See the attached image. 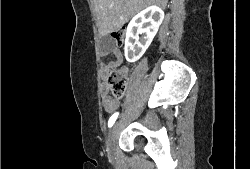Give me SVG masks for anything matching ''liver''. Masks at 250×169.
<instances>
[{"instance_id":"1","label":"liver","mask_w":250,"mask_h":169,"mask_svg":"<svg viewBox=\"0 0 250 169\" xmlns=\"http://www.w3.org/2000/svg\"><path fill=\"white\" fill-rule=\"evenodd\" d=\"M101 36L116 32L129 18L148 4L166 8L168 0H92Z\"/></svg>"}]
</instances>
